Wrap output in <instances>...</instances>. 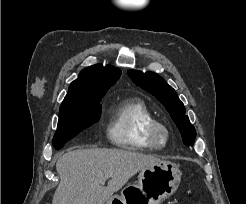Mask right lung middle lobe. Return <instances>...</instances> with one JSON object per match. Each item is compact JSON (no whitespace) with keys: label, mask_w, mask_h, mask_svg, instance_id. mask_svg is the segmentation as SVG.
Wrapping results in <instances>:
<instances>
[{"label":"right lung middle lobe","mask_w":246,"mask_h":204,"mask_svg":"<svg viewBox=\"0 0 246 204\" xmlns=\"http://www.w3.org/2000/svg\"><path fill=\"white\" fill-rule=\"evenodd\" d=\"M102 97H90L82 102L61 104L58 127L52 141L57 150L61 149L67 141L82 130L99 120Z\"/></svg>","instance_id":"obj_1"}]
</instances>
